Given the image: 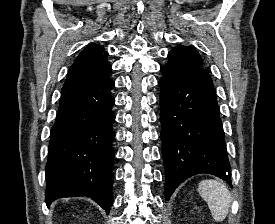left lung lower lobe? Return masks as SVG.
Masks as SVG:
<instances>
[{"label": "left lung lower lobe", "mask_w": 275, "mask_h": 224, "mask_svg": "<svg viewBox=\"0 0 275 224\" xmlns=\"http://www.w3.org/2000/svg\"><path fill=\"white\" fill-rule=\"evenodd\" d=\"M161 72L160 135L166 200L185 179L200 173L218 176L232 186L212 81L196 72L170 74L162 68Z\"/></svg>", "instance_id": "0a47b994"}]
</instances>
